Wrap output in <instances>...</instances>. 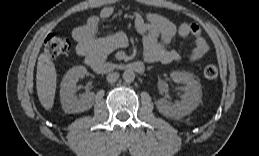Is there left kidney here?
Returning a JSON list of instances; mask_svg holds the SVG:
<instances>
[{"instance_id":"5707ae66","label":"left kidney","mask_w":259,"mask_h":156,"mask_svg":"<svg viewBox=\"0 0 259 156\" xmlns=\"http://www.w3.org/2000/svg\"><path fill=\"white\" fill-rule=\"evenodd\" d=\"M170 77L175 82L185 84V93L181 97V102L170 103L162 98L157 101L156 107L164 116L178 119L190 114L198 106L202 98V91L199 82L190 73L173 71Z\"/></svg>"}]
</instances>
